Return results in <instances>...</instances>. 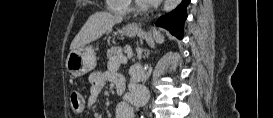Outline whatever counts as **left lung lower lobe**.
<instances>
[{"label":"left lung lower lobe","instance_id":"1","mask_svg":"<svg viewBox=\"0 0 273 118\" xmlns=\"http://www.w3.org/2000/svg\"><path fill=\"white\" fill-rule=\"evenodd\" d=\"M190 0H182L181 4L167 15L157 20L156 26L169 30L178 39L183 38V24L187 18L186 7Z\"/></svg>","mask_w":273,"mask_h":118}]
</instances>
